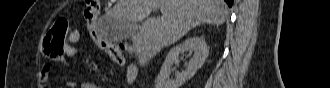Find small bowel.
Wrapping results in <instances>:
<instances>
[{
  "label": "small bowel",
  "mask_w": 330,
  "mask_h": 88,
  "mask_svg": "<svg viewBox=\"0 0 330 88\" xmlns=\"http://www.w3.org/2000/svg\"><path fill=\"white\" fill-rule=\"evenodd\" d=\"M80 39V33L79 30L75 27H72L70 31L68 32V37H67V44L65 48V53L63 57L58 59L59 61H63L66 58H71L76 55L77 53V47L76 44ZM109 56H115L117 54H120L121 56V50L119 47L111 45L109 49L104 50ZM122 56L121 60L117 64H122ZM52 72V66L49 64H45L41 70L40 73V81L41 83H46L49 79V76ZM66 87L68 88H74L76 87V82L74 80H69L66 83ZM90 86L87 83H82L81 88H89Z\"/></svg>",
  "instance_id": "obj_1"
}]
</instances>
